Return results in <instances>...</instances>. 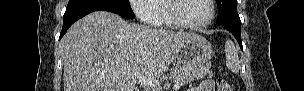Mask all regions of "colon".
Masks as SVG:
<instances>
[{"label": "colon", "instance_id": "1", "mask_svg": "<svg viewBox=\"0 0 304 91\" xmlns=\"http://www.w3.org/2000/svg\"><path fill=\"white\" fill-rule=\"evenodd\" d=\"M218 91H234V88L224 79H218Z\"/></svg>", "mask_w": 304, "mask_h": 91}]
</instances>
